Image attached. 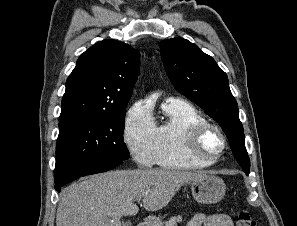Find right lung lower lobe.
<instances>
[{
    "instance_id": "right-lung-lower-lobe-1",
    "label": "right lung lower lobe",
    "mask_w": 297,
    "mask_h": 226,
    "mask_svg": "<svg viewBox=\"0 0 297 226\" xmlns=\"http://www.w3.org/2000/svg\"><path fill=\"white\" fill-rule=\"evenodd\" d=\"M122 162L109 158L81 159L55 167V189L60 192L65 184L78 179L81 176L108 171Z\"/></svg>"
}]
</instances>
